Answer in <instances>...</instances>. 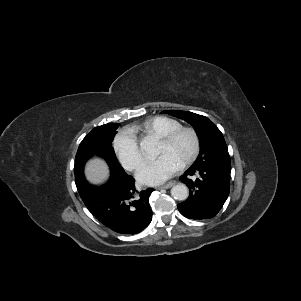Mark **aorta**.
<instances>
[{
  "label": "aorta",
  "instance_id": "aorta-1",
  "mask_svg": "<svg viewBox=\"0 0 301 301\" xmlns=\"http://www.w3.org/2000/svg\"><path fill=\"white\" fill-rule=\"evenodd\" d=\"M140 146L142 149L148 150L151 146V141L149 139H143ZM171 195L176 200L184 201L189 196L188 187L184 184H177L171 188Z\"/></svg>",
  "mask_w": 301,
  "mask_h": 301
}]
</instances>
